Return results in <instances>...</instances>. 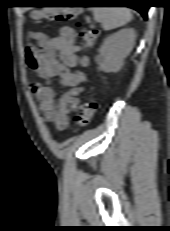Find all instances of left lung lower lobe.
<instances>
[{"instance_id":"1","label":"left lung lower lobe","mask_w":170,"mask_h":231,"mask_svg":"<svg viewBox=\"0 0 170 231\" xmlns=\"http://www.w3.org/2000/svg\"><path fill=\"white\" fill-rule=\"evenodd\" d=\"M128 3L132 4V6L129 7L137 10L145 20L147 19V11L149 7L145 5V0H130Z\"/></svg>"}]
</instances>
